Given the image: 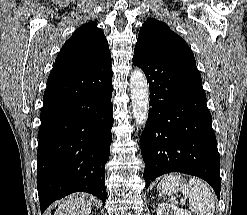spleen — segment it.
I'll use <instances>...</instances> for the list:
<instances>
[{
    "label": "spleen",
    "mask_w": 247,
    "mask_h": 215,
    "mask_svg": "<svg viewBox=\"0 0 247 215\" xmlns=\"http://www.w3.org/2000/svg\"><path fill=\"white\" fill-rule=\"evenodd\" d=\"M180 190L189 198L191 211L196 215H214L215 198L208 186L199 178L193 177L188 180V183H183ZM182 203L185 199L181 200Z\"/></svg>",
    "instance_id": "1"
}]
</instances>
